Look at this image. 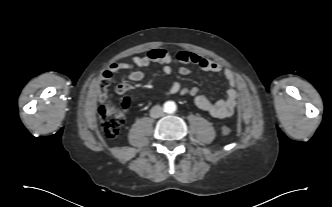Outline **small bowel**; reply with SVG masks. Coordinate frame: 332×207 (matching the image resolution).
<instances>
[{"mask_svg": "<svg viewBox=\"0 0 332 207\" xmlns=\"http://www.w3.org/2000/svg\"><path fill=\"white\" fill-rule=\"evenodd\" d=\"M176 60L184 64H195L204 71L222 73L229 84L226 91V98L219 101H212L205 94L200 93L197 87H182L177 81H173L170 87L164 91V94L179 93L181 95H189L200 110L211 116L216 118L230 117L234 112L238 97L234 72L227 68L223 69L219 63L192 52L181 51L176 55ZM172 61L173 57L165 49L155 48L144 56L134 57L131 63L114 62L110 64L108 69L102 73L101 84L108 82L113 73L124 70H130L128 75L129 80L135 82L141 81L144 78L142 69L148 68L152 63L161 64L163 73L169 76L172 74L170 66ZM134 67L138 69H134ZM179 73L187 75L189 74V69L183 66L179 69ZM101 97L103 98V95Z\"/></svg>", "mask_w": 332, "mask_h": 207, "instance_id": "obj_1", "label": "small bowel"}]
</instances>
